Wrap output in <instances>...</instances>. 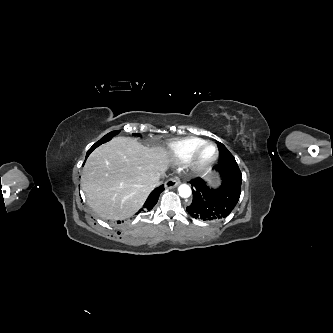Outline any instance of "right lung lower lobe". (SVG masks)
<instances>
[{"label":"right lung lower lobe","instance_id":"obj_1","mask_svg":"<svg viewBox=\"0 0 333 333\" xmlns=\"http://www.w3.org/2000/svg\"><path fill=\"white\" fill-rule=\"evenodd\" d=\"M95 144L88 150L86 158L89 156V154L95 149ZM164 190L163 185L154 189L151 194L149 195V197L147 198L145 204L143 205V207L137 212V214L141 213V212H148L150 211L155 204L158 201L159 195L160 193Z\"/></svg>","mask_w":333,"mask_h":333}]
</instances>
